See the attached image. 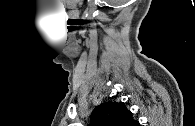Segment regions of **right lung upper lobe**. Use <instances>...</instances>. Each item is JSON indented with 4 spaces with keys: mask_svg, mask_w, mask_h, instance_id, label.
Here are the masks:
<instances>
[{
    "mask_svg": "<svg viewBox=\"0 0 195 126\" xmlns=\"http://www.w3.org/2000/svg\"><path fill=\"white\" fill-rule=\"evenodd\" d=\"M88 126H139L123 102H105L97 106Z\"/></svg>",
    "mask_w": 195,
    "mask_h": 126,
    "instance_id": "right-lung-upper-lobe-1",
    "label": "right lung upper lobe"
}]
</instances>
